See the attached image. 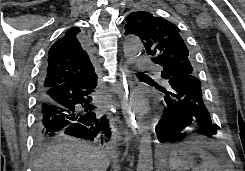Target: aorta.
Returning <instances> with one entry per match:
<instances>
[{"label": "aorta", "instance_id": "762f6f07", "mask_svg": "<svg viewBox=\"0 0 245 171\" xmlns=\"http://www.w3.org/2000/svg\"><path fill=\"white\" fill-rule=\"evenodd\" d=\"M142 49L143 45L139 39L133 38L126 40L123 50L127 63L133 64L140 55ZM144 130L145 132L142 135L139 144L137 171H153L152 140L149 133V127L145 125Z\"/></svg>", "mask_w": 245, "mask_h": 171}]
</instances>
